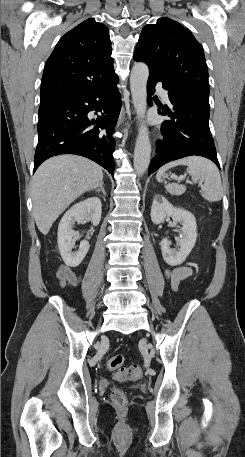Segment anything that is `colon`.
<instances>
[{"label": "colon", "mask_w": 245, "mask_h": 457, "mask_svg": "<svg viewBox=\"0 0 245 457\" xmlns=\"http://www.w3.org/2000/svg\"><path fill=\"white\" fill-rule=\"evenodd\" d=\"M125 358L122 355L111 357L106 366L113 371V377L116 381H136L142 377V366L138 363L124 367ZM111 400L118 408H124L127 405V397L123 390L115 388L111 393Z\"/></svg>", "instance_id": "obj_1"}]
</instances>
